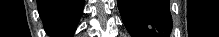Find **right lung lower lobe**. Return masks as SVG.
Returning a JSON list of instances; mask_svg holds the SVG:
<instances>
[{
	"instance_id": "1",
	"label": "right lung lower lobe",
	"mask_w": 219,
	"mask_h": 37,
	"mask_svg": "<svg viewBox=\"0 0 219 37\" xmlns=\"http://www.w3.org/2000/svg\"><path fill=\"white\" fill-rule=\"evenodd\" d=\"M37 3L49 35L66 37L74 32L82 13V0H38Z\"/></svg>"
}]
</instances>
